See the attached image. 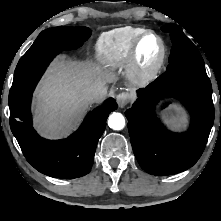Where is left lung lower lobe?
Segmentation results:
<instances>
[{"label":"left lung lower lobe","instance_id":"obj_1","mask_svg":"<svg viewBox=\"0 0 221 221\" xmlns=\"http://www.w3.org/2000/svg\"><path fill=\"white\" fill-rule=\"evenodd\" d=\"M125 112L134 154L147 173L176 174L192 167L200 158L214 121L212 87L207 74L191 70H169L146 88ZM165 96L179 99L192 119L186 133L168 131L155 116V104Z\"/></svg>","mask_w":221,"mask_h":221}]
</instances>
